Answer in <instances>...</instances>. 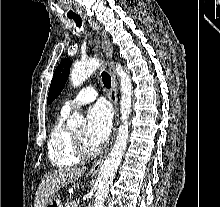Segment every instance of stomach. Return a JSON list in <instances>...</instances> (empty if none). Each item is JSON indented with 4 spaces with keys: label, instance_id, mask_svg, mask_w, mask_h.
<instances>
[{
    "label": "stomach",
    "instance_id": "0dacf381",
    "mask_svg": "<svg viewBox=\"0 0 220 207\" xmlns=\"http://www.w3.org/2000/svg\"><path fill=\"white\" fill-rule=\"evenodd\" d=\"M45 207H62L61 201L54 197Z\"/></svg>",
    "mask_w": 220,
    "mask_h": 207
}]
</instances>
